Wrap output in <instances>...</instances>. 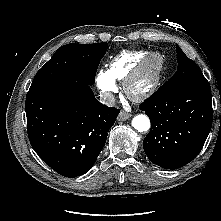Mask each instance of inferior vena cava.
Returning <instances> with one entry per match:
<instances>
[{
  "instance_id": "obj_1",
  "label": "inferior vena cava",
  "mask_w": 221,
  "mask_h": 221,
  "mask_svg": "<svg viewBox=\"0 0 221 221\" xmlns=\"http://www.w3.org/2000/svg\"><path fill=\"white\" fill-rule=\"evenodd\" d=\"M100 101L104 105L107 106H114L116 103L115 97L112 93L110 92H104L100 94Z\"/></svg>"
}]
</instances>
